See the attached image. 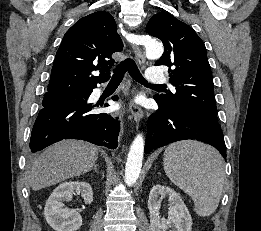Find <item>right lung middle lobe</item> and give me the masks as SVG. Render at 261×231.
Wrapping results in <instances>:
<instances>
[{
  "label": "right lung middle lobe",
  "mask_w": 261,
  "mask_h": 231,
  "mask_svg": "<svg viewBox=\"0 0 261 231\" xmlns=\"http://www.w3.org/2000/svg\"><path fill=\"white\" fill-rule=\"evenodd\" d=\"M87 92L69 93V94H45L42 106L49 107L60 103L72 101L78 98H84Z\"/></svg>",
  "instance_id": "dd1d6c3e"
}]
</instances>
